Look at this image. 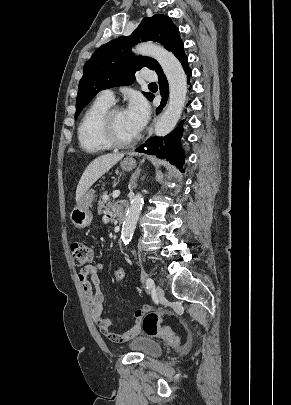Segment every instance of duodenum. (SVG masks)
Returning <instances> with one entry per match:
<instances>
[{"instance_id":"410a0bca","label":"duodenum","mask_w":291,"mask_h":405,"mask_svg":"<svg viewBox=\"0 0 291 405\" xmlns=\"http://www.w3.org/2000/svg\"><path fill=\"white\" fill-rule=\"evenodd\" d=\"M126 205H120L118 207L117 215L120 222H123L126 219Z\"/></svg>"}]
</instances>
